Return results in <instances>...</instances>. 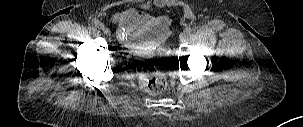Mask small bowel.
<instances>
[{"label":"small bowel","instance_id":"1","mask_svg":"<svg viewBox=\"0 0 303 127\" xmlns=\"http://www.w3.org/2000/svg\"><path fill=\"white\" fill-rule=\"evenodd\" d=\"M112 20L118 25L120 36L132 32L137 37L146 38L147 49L159 45L170 32V20L167 17H155L137 8L118 12Z\"/></svg>","mask_w":303,"mask_h":127}]
</instances>
